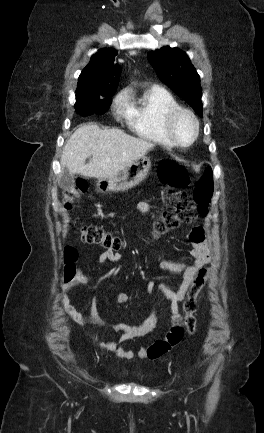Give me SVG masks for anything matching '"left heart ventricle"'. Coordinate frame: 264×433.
Wrapping results in <instances>:
<instances>
[{
    "mask_svg": "<svg viewBox=\"0 0 264 433\" xmlns=\"http://www.w3.org/2000/svg\"><path fill=\"white\" fill-rule=\"evenodd\" d=\"M173 130L179 141L188 143L194 134V124L187 115H180L174 123Z\"/></svg>",
    "mask_w": 264,
    "mask_h": 433,
    "instance_id": "b2bd125f",
    "label": "left heart ventricle"
}]
</instances>
